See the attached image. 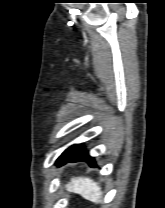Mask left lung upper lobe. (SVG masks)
Segmentation results:
<instances>
[{"label":"left lung upper lobe","instance_id":"obj_1","mask_svg":"<svg viewBox=\"0 0 165 208\" xmlns=\"http://www.w3.org/2000/svg\"><path fill=\"white\" fill-rule=\"evenodd\" d=\"M69 149H70V148L66 149V150L62 153V155L57 159L56 164H59V163H60L61 159H62L63 156L68 152Z\"/></svg>","mask_w":165,"mask_h":208}]
</instances>
